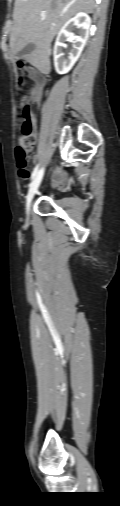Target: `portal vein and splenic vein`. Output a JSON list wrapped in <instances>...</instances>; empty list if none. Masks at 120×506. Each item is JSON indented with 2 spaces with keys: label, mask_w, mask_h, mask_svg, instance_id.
Listing matches in <instances>:
<instances>
[{
  "label": "portal vein and splenic vein",
  "mask_w": 120,
  "mask_h": 506,
  "mask_svg": "<svg viewBox=\"0 0 120 506\" xmlns=\"http://www.w3.org/2000/svg\"><path fill=\"white\" fill-rule=\"evenodd\" d=\"M41 16H42V18H45L46 15L43 13V14H41Z\"/></svg>",
  "instance_id": "18ae733b"
}]
</instances>
